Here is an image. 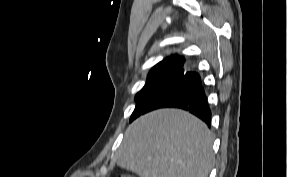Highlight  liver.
Here are the masks:
<instances>
[{"label":"liver","mask_w":287,"mask_h":177,"mask_svg":"<svg viewBox=\"0 0 287 177\" xmlns=\"http://www.w3.org/2000/svg\"><path fill=\"white\" fill-rule=\"evenodd\" d=\"M213 138L204 122L180 109H159L125 131L118 166L140 177H208Z\"/></svg>","instance_id":"liver-1"}]
</instances>
